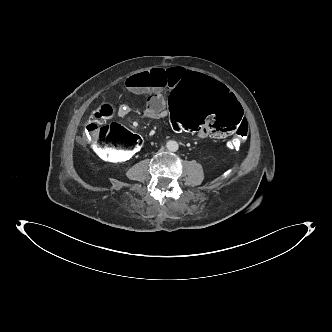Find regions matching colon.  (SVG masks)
Instances as JSON below:
<instances>
[{
  "label": "colon",
  "instance_id": "1",
  "mask_svg": "<svg viewBox=\"0 0 332 332\" xmlns=\"http://www.w3.org/2000/svg\"><path fill=\"white\" fill-rule=\"evenodd\" d=\"M113 112L108 103L97 108L84 127L83 140L96 148L100 158L124 162L143 148L144 141L118 125L101 129L100 121ZM166 116L171 126L183 133L214 139L234 133L227 144L230 149L242 146L249 134L247 122L241 121L243 107L238 97L201 73L179 80L169 95Z\"/></svg>",
  "mask_w": 332,
  "mask_h": 332
}]
</instances>
